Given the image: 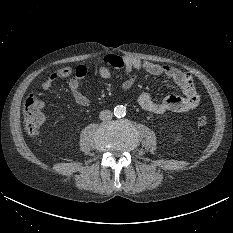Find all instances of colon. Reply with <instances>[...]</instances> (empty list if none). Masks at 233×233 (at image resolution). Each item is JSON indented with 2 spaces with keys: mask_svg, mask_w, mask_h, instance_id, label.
I'll list each match as a JSON object with an SVG mask.
<instances>
[{
  "mask_svg": "<svg viewBox=\"0 0 233 233\" xmlns=\"http://www.w3.org/2000/svg\"><path fill=\"white\" fill-rule=\"evenodd\" d=\"M44 104L36 96H29L23 105V117L24 125L28 134H38L40 127L45 121V115L43 113ZM208 124V118L206 116H199L197 118V125L199 127H205Z\"/></svg>",
  "mask_w": 233,
  "mask_h": 233,
  "instance_id": "colon-1",
  "label": "colon"
}]
</instances>
